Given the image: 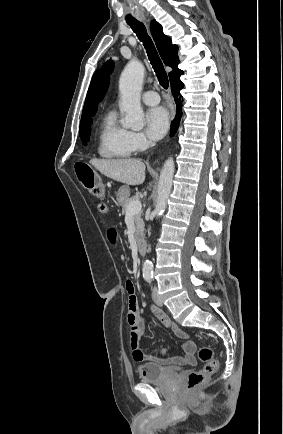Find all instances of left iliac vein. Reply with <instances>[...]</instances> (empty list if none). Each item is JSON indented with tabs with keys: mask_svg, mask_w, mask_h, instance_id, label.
Wrapping results in <instances>:
<instances>
[{
	"mask_svg": "<svg viewBox=\"0 0 283 434\" xmlns=\"http://www.w3.org/2000/svg\"><path fill=\"white\" fill-rule=\"evenodd\" d=\"M152 298H153V301H154L158 306H163V302H162L160 296L158 295V292H157V288H156V287H154V289H153Z\"/></svg>",
	"mask_w": 283,
	"mask_h": 434,
	"instance_id": "left-iliac-vein-1",
	"label": "left iliac vein"
}]
</instances>
